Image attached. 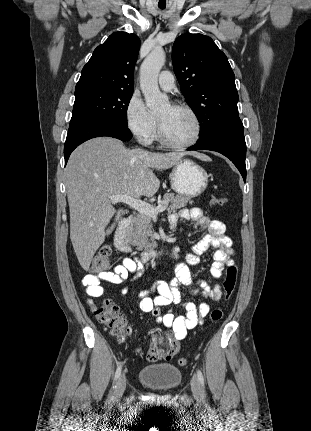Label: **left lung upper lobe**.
Returning <instances> with one entry per match:
<instances>
[{
  "label": "left lung upper lobe",
  "mask_w": 311,
  "mask_h": 431,
  "mask_svg": "<svg viewBox=\"0 0 311 431\" xmlns=\"http://www.w3.org/2000/svg\"><path fill=\"white\" fill-rule=\"evenodd\" d=\"M175 75L200 122L199 140L223 125L241 121L235 76L226 55L202 34H183L173 45Z\"/></svg>",
  "instance_id": "left-lung-upper-lobe-1"
}]
</instances>
